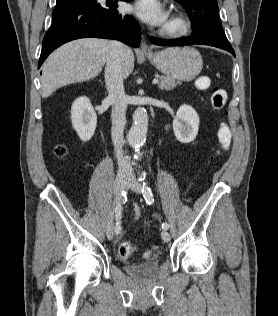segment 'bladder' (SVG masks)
<instances>
[{"instance_id": "bladder-1", "label": "bladder", "mask_w": 278, "mask_h": 316, "mask_svg": "<svg viewBox=\"0 0 278 316\" xmlns=\"http://www.w3.org/2000/svg\"><path fill=\"white\" fill-rule=\"evenodd\" d=\"M124 269L133 276L149 278L157 273L159 269V261L152 259L139 264H126Z\"/></svg>"}]
</instances>
